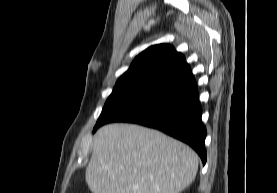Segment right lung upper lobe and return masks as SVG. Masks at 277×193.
<instances>
[{"label": "right lung upper lobe", "mask_w": 277, "mask_h": 193, "mask_svg": "<svg viewBox=\"0 0 277 193\" xmlns=\"http://www.w3.org/2000/svg\"><path fill=\"white\" fill-rule=\"evenodd\" d=\"M191 75L184 56L173 46L153 45L135 58L114 89L152 93Z\"/></svg>", "instance_id": "cb5924a9"}]
</instances>
